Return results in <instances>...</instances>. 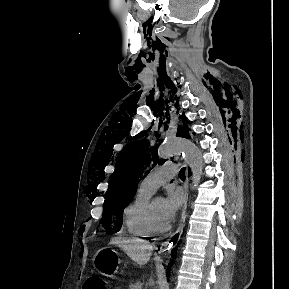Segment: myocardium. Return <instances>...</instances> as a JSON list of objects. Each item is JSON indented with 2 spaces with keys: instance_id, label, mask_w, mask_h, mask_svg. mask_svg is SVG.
<instances>
[{
  "instance_id": "1",
  "label": "myocardium",
  "mask_w": 289,
  "mask_h": 289,
  "mask_svg": "<svg viewBox=\"0 0 289 289\" xmlns=\"http://www.w3.org/2000/svg\"><path fill=\"white\" fill-rule=\"evenodd\" d=\"M153 200L149 201L147 206V216L150 222V225L155 233H164L170 229V224H160L154 215L153 208H152Z\"/></svg>"
}]
</instances>
